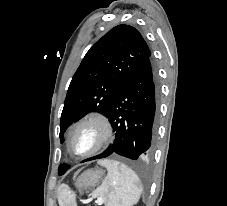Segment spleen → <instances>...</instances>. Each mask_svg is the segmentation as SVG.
I'll list each match as a JSON object with an SVG mask.
<instances>
[{"label": "spleen", "mask_w": 227, "mask_h": 206, "mask_svg": "<svg viewBox=\"0 0 227 206\" xmlns=\"http://www.w3.org/2000/svg\"><path fill=\"white\" fill-rule=\"evenodd\" d=\"M100 165L107 168L108 174L102 185L93 192V196L103 197L106 206H133L139 201L142 193L141 181L137 174L115 160H103ZM60 198L68 206L75 205V196L62 188Z\"/></svg>", "instance_id": "spleen-1"}]
</instances>
